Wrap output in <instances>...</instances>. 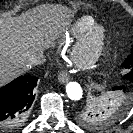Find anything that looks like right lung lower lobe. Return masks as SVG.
<instances>
[{
    "mask_svg": "<svg viewBox=\"0 0 133 133\" xmlns=\"http://www.w3.org/2000/svg\"><path fill=\"white\" fill-rule=\"evenodd\" d=\"M37 77L20 76L0 88V127L14 128L20 125L31 107L37 85Z\"/></svg>",
    "mask_w": 133,
    "mask_h": 133,
    "instance_id": "obj_1",
    "label": "right lung lower lobe"
}]
</instances>
